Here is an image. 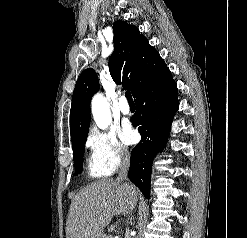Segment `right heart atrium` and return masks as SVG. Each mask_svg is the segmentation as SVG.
Wrapping results in <instances>:
<instances>
[{"label": "right heart atrium", "instance_id": "1", "mask_svg": "<svg viewBox=\"0 0 247 238\" xmlns=\"http://www.w3.org/2000/svg\"><path fill=\"white\" fill-rule=\"evenodd\" d=\"M93 155L110 173L116 171L130 157L128 148L118 139L114 129H93L88 136Z\"/></svg>", "mask_w": 247, "mask_h": 238}]
</instances>
